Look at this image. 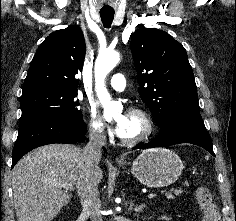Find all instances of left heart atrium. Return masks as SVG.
<instances>
[{"label":"left heart atrium","instance_id":"39dd6f15","mask_svg":"<svg viewBox=\"0 0 236 221\" xmlns=\"http://www.w3.org/2000/svg\"><path fill=\"white\" fill-rule=\"evenodd\" d=\"M127 121H128V114L126 113L120 115L115 121L114 127L118 135L122 136L124 134Z\"/></svg>","mask_w":236,"mask_h":221}]
</instances>
